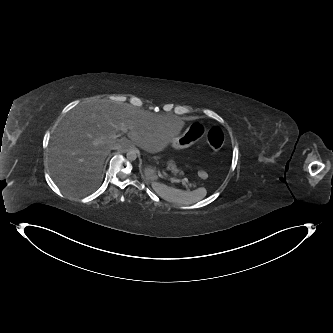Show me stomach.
<instances>
[{
  "label": "stomach",
  "mask_w": 333,
  "mask_h": 333,
  "mask_svg": "<svg viewBox=\"0 0 333 333\" xmlns=\"http://www.w3.org/2000/svg\"><path fill=\"white\" fill-rule=\"evenodd\" d=\"M205 127L199 123L194 122L188 131L180 137L171 142L172 146L176 149H184L191 146L198 137L203 136ZM144 178L152 184H159L165 178L164 169L157 163H149L143 169Z\"/></svg>",
  "instance_id": "obj_1"
}]
</instances>
